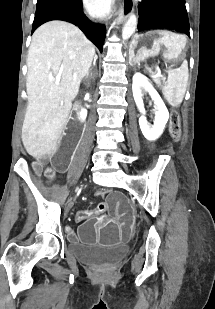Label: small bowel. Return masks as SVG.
<instances>
[{
  "mask_svg": "<svg viewBox=\"0 0 215 309\" xmlns=\"http://www.w3.org/2000/svg\"><path fill=\"white\" fill-rule=\"evenodd\" d=\"M89 213H90L89 218H93V217H95V216H97V215H98V214L96 213V211H95V210H93V211H89ZM70 239H71V240H75V237H74L73 235H71V236H70Z\"/></svg>",
  "mask_w": 215,
  "mask_h": 309,
  "instance_id": "1",
  "label": "small bowel"
}]
</instances>
